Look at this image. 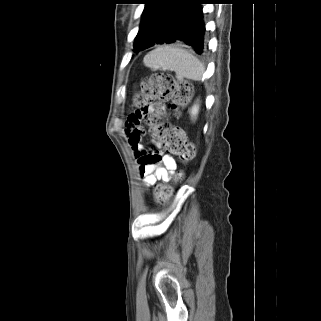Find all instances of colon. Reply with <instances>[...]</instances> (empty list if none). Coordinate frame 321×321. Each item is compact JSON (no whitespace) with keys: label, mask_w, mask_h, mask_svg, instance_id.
Listing matches in <instances>:
<instances>
[{"label":"colon","mask_w":321,"mask_h":321,"mask_svg":"<svg viewBox=\"0 0 321 321\" xmlns=\"http://www.w3.org/2000/svg\"><path fill=\"white\" fill-rule=\"evenodd\" d=\"M192 95V87L188 82H178L166 73L153 74L143 79L134 96V104L139 109H146L157 105L161 101H170L173 110L178 112L185 107ZM153 139L163 151L178 157L182 162H190L195 157V146L188 139L185 131L168 122H152ZM173 179L179 181L181 173H174ZM172 192L169 185H159L156 197L160 201L166 200Z\"/></svg>","instance_id":"colon-1"}]
</instances>
